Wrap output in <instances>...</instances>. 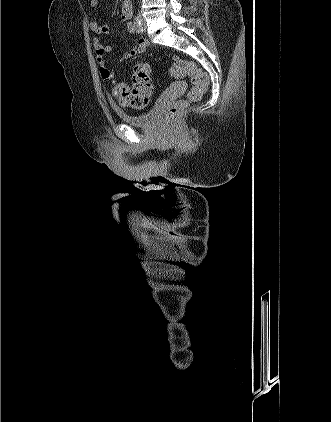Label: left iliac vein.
Here are the masks:
<instances>
[{
	"label": "left iliac vein",
	"mask_w": 331,
	"mask_h": 422,
	"mask_svg": "<svg viewBox=\"0 0 331 422\" xmlns=\"http://www.w3.org/2000/svg\"><path fill=\"white\" fill-rule=\"evenodd\" d=\"M142 26L145 29V20L142 18Z\"/></svg>",
	"instance_id": "4c4485c4"
}]
</instances>
